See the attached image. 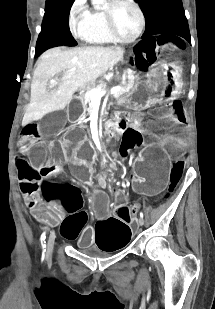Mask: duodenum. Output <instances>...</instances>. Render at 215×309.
I'll return each mask as SVG.
<instances>
[{
	"label": "duodenum",
	"instance_id": "duodenum-1",
	"mask_svg": "<svg viewBox=\"0 0 215 309\" xmlns=\"http://www.w3.org/2000/svg\"><path fill=\"white\" fill-rule=\"evenodd\" d=\"M132 122V118L125 113L115 114L112 118L103 120L104 133L113 134L127 128Z\"/></svg>",
	"mask_w": 215,
	"mask_h": 309
}]
</instances>
